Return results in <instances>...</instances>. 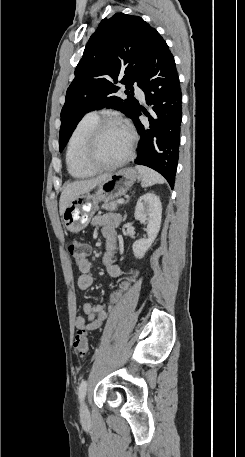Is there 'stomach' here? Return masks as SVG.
<instances>
[{
  "instance_id": "obj_1",
  "label": "stomach",
  "mask_w": 245,
  "mask_h": 457,
  "mask_svg": "<svg viewBox=\"0 0 245 457\" xmlns=\"http://www.w3.org/2000/svg\"><path fill=\"white\" fill-rule=\"evenodd\" d=\"M140 176L141 174L136 168L127 166V168H121L107 176L106 180L98 184L94 194L91 192L79 194L77 198L67 204L63 212L62 218L66 231H70V233L83 231L97 210L100 200H114L117 196L125 194Z\"/></svg>"
}]
</instances>
